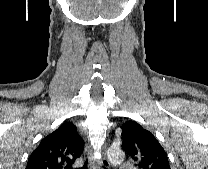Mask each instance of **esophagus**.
I'll return each mask as SVG.
<instances>
[{
	"mask_svg": "<svg viewBox=\"0 0 208 169\" xmlns=\"http://www.w3.org/2000/svg\"><path fill=\"white\" fill-rule=\"evenodd\" d=\"M109 161L106 157L101 158L97 162H93L91 169H109Z\"/></svg>",
	"mask_w": 208,
	"mask_h": 169,
	"instance_id": "1",
	"label": "esophagus"
}]
</instances>
